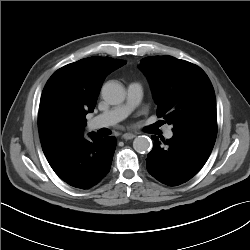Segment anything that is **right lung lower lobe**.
Returning a JSON list of instances; mask_svg holds the SVG:
<instances>
[{
  "instance_id": "1",
  "label": "right lung lower lobe",
  "mask_w": 250,
  "mask_h": 250,
  "mask_svg": "<svg viewBox=\"0 0 250 250\" xmlns=\"http://www.w3.org/2000/svg\"><path fill=\"white\" fill-rule=\"evenodd\" d=\"M65 140L47 152V161L67 184L80 189L97 185L109 172L116 147L115 137L94 132Z\"/></svg>"
}]
</instances>
